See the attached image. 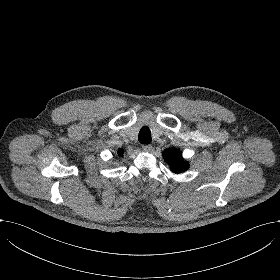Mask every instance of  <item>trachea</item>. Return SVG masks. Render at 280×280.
<instances>
[{
  "instance_id": "trachea-1",
  "label": "trachea",
  "mask_w": 280,
  "mask_h": 280,
  "mask_svg": "<svg viewBox=\"0 0 280 280\" xmlns=\"http://www.w3.org/2000/svg\"><path fill=\"white\" fill-rule=\"evenodd\" d=\"M138 139L142 144H149L151 142V132L147 126L141 128Z\"/></svg>"
}]
</instances>
